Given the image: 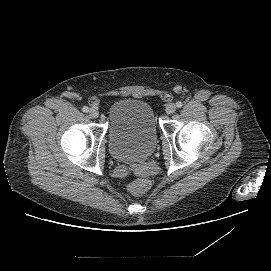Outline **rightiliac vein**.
<instances>
[{
  "label": "right iliac vein",
  "instance_id": "obj_1",
  "mask_svg": "<svg viewBox=\"0 0 271 271\" xmlns=\"http://www.w3.org/2000/svg\"><path fill=\"white\" fill-rule=\"evenodd\" d=\"M89 115L91 116V117H93V118H97L98 116H99V111H98V109H96V108H91L90 110H89Z\"/></svg>",
  "mask_w": 271,
  "mask_h": 271
}]
</instances>
